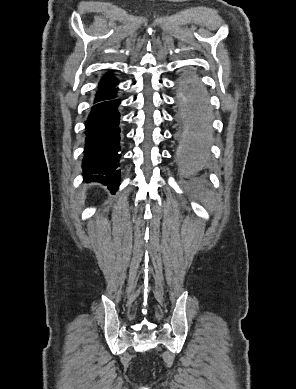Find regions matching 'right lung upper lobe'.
Returning a JSON list of instances; mask_svg holds the SVG:
<instances>
[{
    "label": "right lung upper lobe",
    "instance_id": "1",
    "mask_svg": "<svg viewBox=\"0 0 296 389\" xmlns=\"http://www.w3.org/2000/svg\"><path fill=\"white\" fill-rule=\"evenodd\" d=\"M117 82H118V80L115 79L112 72L109 71V73L105 74L101 78V80L99 82V86H98V92L95 95V98L105 96V95L115 91L116 90L115 86H116Z\"/></svg>",
    "mask_w": 296,
    "mask_h": 389
}]
</instances>
